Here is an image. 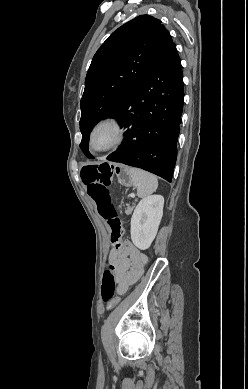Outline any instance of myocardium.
I'll list each match as a JSON object with an SVG mask.
<instances>
[{"label": "myocardium", "instance_id": "obj_1", "mask_svg": "<svg viewBox=\"0 0 248 389\" xmlns=\"http://www.w3.org/2000/svg\"><path fill=\"white\" fill-rule=\"evenodd\" d=\"M106 132L108 140L104 144H99V136ZM125 138V129L116 118H104L98 121L90 132L89 145L97 152H107L119 146Z\"/></svg>", "mask_w": 248, "mask_h": 389}]
</instances>
